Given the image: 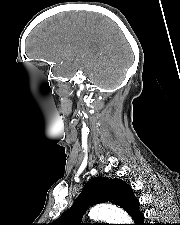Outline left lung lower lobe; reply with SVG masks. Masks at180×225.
I'll return each instance as SVG.
<instances>
[{"mask_svg": "<svg viewBox=\"0 0 180 225\" xmlns=\"http://www.w3.org/2000/svg\"><path fill=\"white\" fill-rule=\"evenodd\" d=\"M131 217L134 220V225H146L143 223L144 215L139 210L133 212Z\"/></svg>", "mask_w": 180, "mask_h": 225, "instance_id": "1", "label": "left lung lower lobe"}]
</instances>
